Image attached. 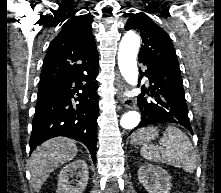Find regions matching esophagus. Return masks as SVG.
<instances>
[{"mask_svg":"<svg viewBox=\"0 0 221 193\" xmlns=\"http://www.w3.org/2000/svg\"><path fill=\"white\" fill-rule=\"evenodd\" d=\"M117 88H118L119 97L121 99V103L126 108L136 109V100L134 98L122 96V93L126 89L125 83L123 81L119 80L118 83H117Z\"/></svg>","mask_w":221,"mask_h":193,"instance_id":"esophagus-1","label":"esophagus"}]
</instances>
